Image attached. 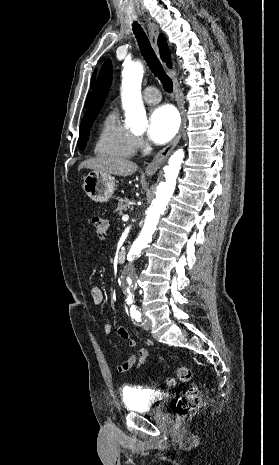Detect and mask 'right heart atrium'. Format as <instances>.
Returning <instances> with one entry per match:
<instances>
[{
	"label": "right heart atrium",
	"mask_w": 279,
	"mask_h": 465,
	"mask_svg": "<svg viewBox=\"0 0 279 465\" xmlns=\"http://www.w3.org/2000/svg\"><path fill=\"white\" fill-rule=\"evenodd\" d=\"M134 145H135V149H139V148L144 147L145 142L141 136L134 135Z\"/></svg>",
	"instance_id": "1"
}]
</instances>
